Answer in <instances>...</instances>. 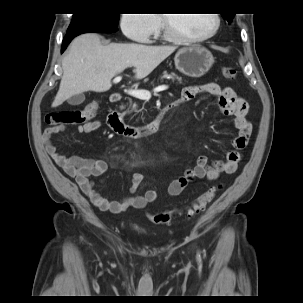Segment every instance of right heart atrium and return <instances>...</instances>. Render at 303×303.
Instances as JSON below:
<instances>
[{"label": "right heart atrium", "instance_id": "right-heart-atrium-1", "mask_svg": "<svg viewBox=\"0 0 303 303\" xmlns=\"http://www.w3.org/2000/svg\"><path fill=\"white\" fill-rule=\"evenodd\" d=\"M119 27L129 40L148 43L160 29V21L154 14H122Z\"/></svg>", "mask_w": 303, "mask_h": 303}]
</instances>
